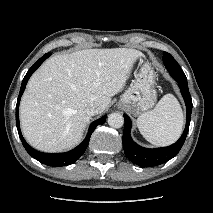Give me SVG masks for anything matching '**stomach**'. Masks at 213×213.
<instances>
[{
	"instance_id": "0dacf381",
	"label": "stomach",
	"mask_w": 213,
	"mask_h": 213,
	"mask_svg": "<svg viewBox=\"0 0 213 213\" xmlns=\"http://www.w3.org/2000/svg\"><path fill=\"white\" fill-rule=\"evenodd\" d=\"M156 73L147 64H143L136 80L121 96L119 107L124 108L134 115H139L152 108L156 102L157 94L154 89Z\"/></svg>"
}]
</instances>
